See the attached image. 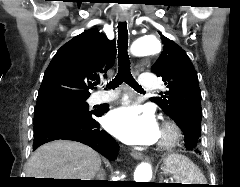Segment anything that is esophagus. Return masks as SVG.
I'll return each mask as SVG.
<instances>
[{"label":"esophagus","mask_w":240,"mask_h":187,"mask_svg":"<svg viewBox=\"0 0 240 187\" xmlns=\"http://www.w3.org/2000/svg\"><path fill=\"white\" fill-rule=\"evenodd\" d=\"M119 19H120L121 22H128L129 18H128V16L122 15V16H120ZM131 155H132L133 158H135L137 160H142L144 158L148 159L147 157L144 156V154H143L141 149L132 150Z\"/></svg>","instance_id":"esophagus-1"}]
</instances>
